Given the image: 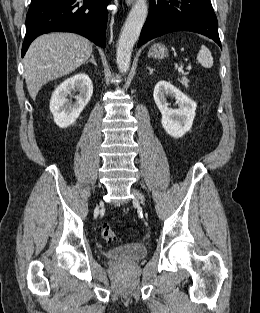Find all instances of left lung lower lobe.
Masks as SVG:
<instances>
[{"label": "left lung lower lobe", "instance_id": "1", "mask_svg": "<svg viewBox=\"0 0 260 313\" xmlns=\"http://www.w3.org/2000/svg\"><path fill=\"white\" fill-rule=\"evenodd\" d=\"M174 31H193L213 39L220 47L218 22L210 0H150L149 15L138 47Z\"/></svg>", "mask_w": 260, "mask_h": 313}]
</instances>
